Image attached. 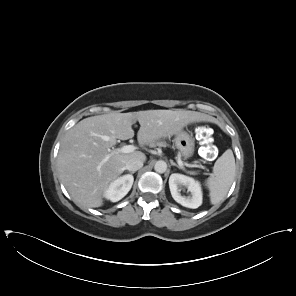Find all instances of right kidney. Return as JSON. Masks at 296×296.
<instances>
[{
	"label": "right kidney",
	"mask_w": 296,
	"mask_h": 296,
	"mask_svg": "<svg viewBox=\"0 0 296 296\" xmlns=\"http://www.w3.org/2000/svg\"><path fill=\"white\" fill-rule=\"evenodd\" d=\"M134 182L132 175H123L113 180L106 188L104 197L112 202L121 200L130 191Z\"/></svg>",
	"instance_id": "1"
}]
</instances>
